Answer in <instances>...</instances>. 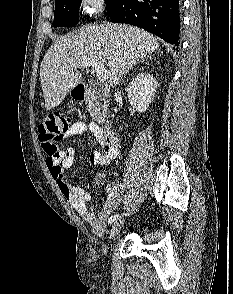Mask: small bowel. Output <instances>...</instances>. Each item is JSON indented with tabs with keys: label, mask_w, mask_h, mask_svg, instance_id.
<instances>
[{
	"label": "small bowel",
	"mask_w": 233,
	"mask_h": 294,
	"mask_svg": "<svg viewBox=\"0 0 233 294\" xmlns=\"http://www.w3.org/2000/svg\"><path fill=\"white\" fill-rule=\"evenodd\" d=\"M90 131L100 144L101 150L91 152L89 161L93 165L109 166L113 159L119 154V142L110 143L103 135L101 127L94 123L85 121H76L65 132L64 137H74ZM76 151L69 147L60 152L59 158L47 157L46 165L53 180L57 183L61 194L73 206L79 215L93 228L97 233L104 231L109 219L113 216V212L120 200L121 190L119 183L115 181L108 182L104 174L99 173L95 177L97 186H105L106 201L102 210L96 215L88 203L91 195L88 191L68 184L65 181V170L70 168L75 161Z\"/></svg>",
	"instance_id": "1"
}]
</instances>
